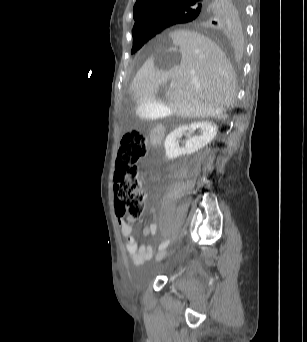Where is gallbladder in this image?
<instances>
[{"label":"gallbladder","mask_w":307,"mask_h":342,"mask_svg":"<svg viewBox=\"0 0 307 342\" xmlns=\"http://www.w3.org/2000/svg\"><path fill=\"white\" fill-rule=\"evenodd\" d=\"M135 109L138 114H142L148 123L153 121V118H170L173 109L168 103H160L159 99H154L153 95H134L133 97Z\"/></svg>","instance_id":"obj_1"}]
</instances>
